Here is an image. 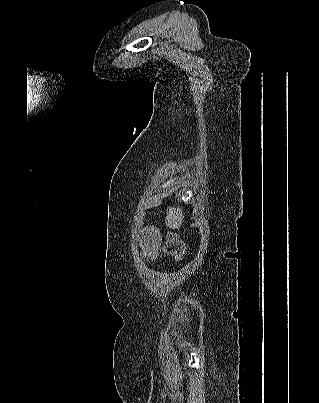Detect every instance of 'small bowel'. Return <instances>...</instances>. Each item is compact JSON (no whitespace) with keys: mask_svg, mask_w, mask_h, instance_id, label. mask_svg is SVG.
Here are the masks:
<instances>
[{"mask_svg":"<svg viewBox=\"0 0 319 403\" xmlns=\"http://www.w3.org/2000/svg\"><path fill=\"white\" fill-rule=\"evenodd\" d=\"M143 255H144L145 257H147V256H148V251H147L146 249H144V251H143Z\"/></svg>","mask_w":319,"mask_h":403,"instance_id":"small-bowel-1","label":"small bowel"}]
</instances>
